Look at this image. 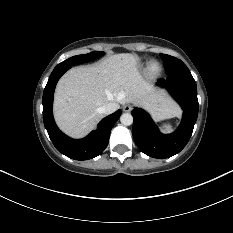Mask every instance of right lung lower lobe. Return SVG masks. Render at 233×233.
Wrapping results in <instances>:
<instances>
[{
    "mask_svg": "<svg viewBox=\"0 0 233 233\" xmlns=\"http://www.w3.org/2000/svg\"><path fill=\"white\" fill-rule=\"evenodd\" d=\"M71 66L55 68L51 73L43 93V121L49 137L56 149L75 160H88L100 155L109 142L112 127L121 115V110L104 118L96 130L83 139H72L62 133L55 124L52 105L55 86L59 78Z\"/></svg>",
    "mask_w": 233,
    "mask_h": 233,
    "instance_id": "right-lung-lower-lobe-1",
    "label": "right lung lower lobe"
}]
</instances>
